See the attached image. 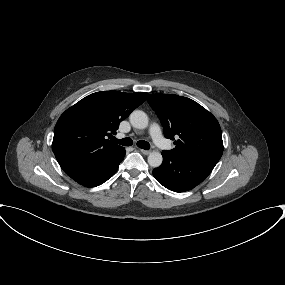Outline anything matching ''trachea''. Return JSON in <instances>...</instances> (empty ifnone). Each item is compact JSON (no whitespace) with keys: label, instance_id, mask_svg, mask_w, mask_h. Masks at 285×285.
I'll use <instances>...</instances> for the list:
<instances>
[{"label":"trachea","instance_id":"trachea-1","mask_svg":"<svg viewBox=\"0 0 285 285\" xmlns=\"http://www.w3.org/2000/svg\"><path fill=\"white\" fill-rule=\"evenodd\" d=\"M112 141L117 144L123 145V146H131L133 144V141L131 138L116 139L113 137ZM137 146L145 150H148L150 148V144L144 140L138 141Z\"/></svg>","mask_w":285,"mask_h":285}]
</instances>
